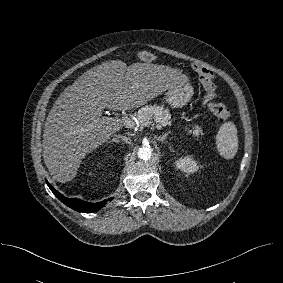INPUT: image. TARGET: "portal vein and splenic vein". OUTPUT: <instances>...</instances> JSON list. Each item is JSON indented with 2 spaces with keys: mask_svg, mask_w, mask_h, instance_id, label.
<instances>
[{
  "mask_svg": "<svg viewBox=\"0 0 283 283\" xmlns=\"http://www.w3.org/2000/svg\"><path fill=\"white\" fill-rule=\"evenodd\" d=\"M121 122L124 124V126H126L127 128H133L136 123L130 119L128 116H122L121 117ZM151 126L155 129H158V130H161L162 129V126L159 125V124H154V123H150Z\"/></svg>",
  "mask_w": 283,
  "mask_h": 283,
  "instance_id": "obj_1",
  "label": "portal vein and splenic vein"
}]
</instances>
